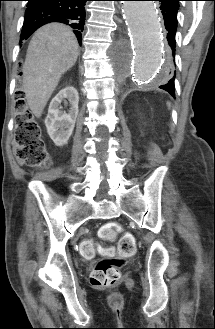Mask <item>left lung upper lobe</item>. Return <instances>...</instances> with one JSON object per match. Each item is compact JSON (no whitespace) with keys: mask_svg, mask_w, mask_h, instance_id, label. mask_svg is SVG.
I'll return each mask as SVG.
<instances>
[{"mask_svg":"<svg viewBox=\"0 0 215 329\" xmlns=\"http://www.w3.org/2000/svg\"><path fill=\"white\" fill-rule=\"evenodd\" d=\"M174 1H176L177 3H179L180 0H174Z\"/></svg>","mask_w":215,"mask_h":329,"instance_id":"obj_1","label":"left lung upper lobe"}]
</instances>
